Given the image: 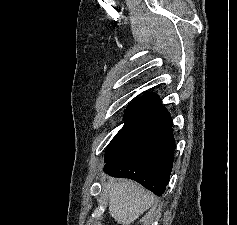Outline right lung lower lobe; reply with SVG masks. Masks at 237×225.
Segmentation results:
<instances>
[{
    "mask_svg": "<svg viewBox=\"0 0 237 225\" xmlns=\"http://www.w3.org/2000/svg\"><path fill=\"white\" fill-rule=\"evenodd\" d=\"M175 140L172 119L159 105L127 122L107 147L105 173L137 181L156 195L169 182Z\"/></svg>",
    "mask_w": 237,
    "mask_h": 225,
    "instance_id": "right-lung-lower-lobe-1",
    "label": "right lung lower lobe"
}]
</instances>
